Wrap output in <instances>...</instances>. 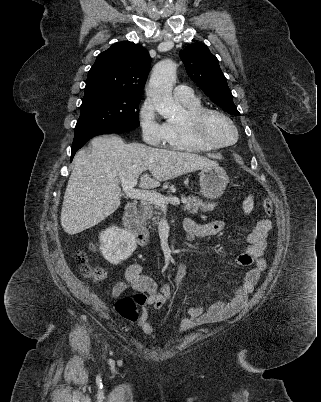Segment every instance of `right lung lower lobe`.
<instances>
[{
    "instance_id": "1",
    "label": "right lung lower lobe",
    "mask_w": 321,
    "mask_h": 402,
    "mask_svg": "<svg viewBox=\"0 0 321 402\" xmlns=\"http://www.w3.org/2000/svg\"><path fill=\"white\" fill-rule=\"evenodd\" d=\"M132 129L133 128L125 125H113L75 130L74 140L71 148V160L73 159L77 150H79L90 138L97 135L125 132Z\"/></svg>"
}]
</instances>
